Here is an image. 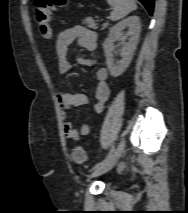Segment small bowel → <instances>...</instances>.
I'll list each match as a JSON object with an SVG mask.
<instances>
[{
  "instance_id": "obj_1",
  "label": "small bowel",
  "mask_w": 188,
  "mask_h": 213,
  "mask_svg": "<svg viewBox=\"0 0 188 213\" xmlns=\"http://www.w3.org/2000/svg\"><path fill=\"white\" fill-rule=\"evenodd\" d=\"M77 41L79 45L88 50L94 51L97 47V37L93 31L81 25H74L63 30L56 42V57L58 70L61 74L67 73L71 64L68 60V48ZM80 63L86 66H94L96 63L89 59H80ZM97 86L95 90L94 110L96 113H102L110 96V87L107 82L108 71L104 66L96 68ZM57 100L62 109L63 130L66 138L80 141L90 134L91 125L85 123L78 130L68 119L67 111L73 107H81L88 103V98L83 93L59 92Z\"/></svg>"
}]
</instances>
